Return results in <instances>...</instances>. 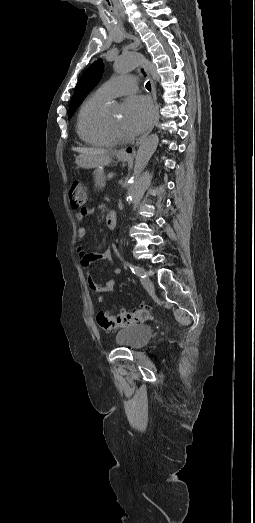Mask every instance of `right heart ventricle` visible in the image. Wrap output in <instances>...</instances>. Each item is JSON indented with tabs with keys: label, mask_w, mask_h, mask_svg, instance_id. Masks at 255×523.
<instances>
[{
	"label": "right heart ventricle",
	"mask_w": 255,
	"mask_h": 523,
	"mask_svg": "<svg viewBox=\"0 0 255 523\" xmlns=\"http://www.w3.org/2000/svg\"><path fill=\"white\" fill-rule=\"evenodd\" d=\"M109 100L110 97L97 89L82 103L78 114L77 132L85 143L94 146H110L115 143L102 124L104 108Z\"/></svg>",
	"instance_id": "right-heart-ventricle-1"
}]
</instances>
